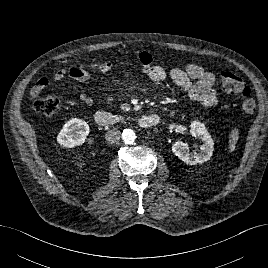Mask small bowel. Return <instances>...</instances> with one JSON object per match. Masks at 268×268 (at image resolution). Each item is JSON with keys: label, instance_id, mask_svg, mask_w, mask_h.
<instances>
[{"label": "small bowel", "instance_id": "1", "mask_svg": "<svg viewBox=\"0 0 268 268\" xmlns=\"http://www.w3.org/2000/svg\"><path fill=\"white\" fill-rule=\"evenodd\" d=\"M138 62L141 65L143 75L149 80L159 83L167 77V71L162 66L153 63V58L149 52H140ZM112 69L113 63L108 59L84 62L58 69L54 73L53 80L59 82L69 77L79 82H85L90 78L91 71L106 73ZM169 76L177 87L200 105L212 107L217 103L218 93L214 89V75L206 71L202 66L187 64L183 68L175 67L169 71ZM49 83V78H40L31 88L30 96L32 98L37 97ZM80 99L86 105L93 104V98L87 94H82Z\"/></svg>", "mask_w": 268, "mask_h": 268}]
</instances>
